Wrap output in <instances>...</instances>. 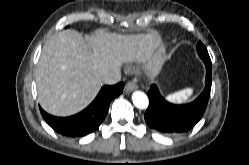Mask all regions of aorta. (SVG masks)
Listing matches in <instances>:
<instances>
[{
  "instance_id": "1",
  "label": "aorta",
  "mask_w": 249,
  "mask_h": 165,
  "mask_svg": "<svg viewBox=\"0 0 249 165\" xmlns=\"http://www.w3.org/2000/svg\"><path fill=\"white\" fill-rule=\"evenodd\" d=\"M133 104L139 109H145L148 107L149 100L147 95L141 91H135L132 95Z\"/></svg>"
}]
</instances>
